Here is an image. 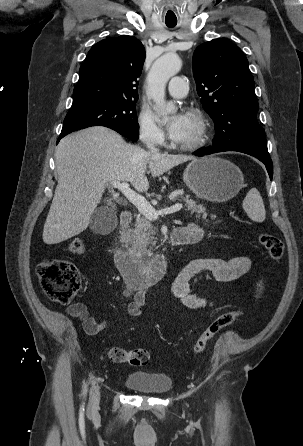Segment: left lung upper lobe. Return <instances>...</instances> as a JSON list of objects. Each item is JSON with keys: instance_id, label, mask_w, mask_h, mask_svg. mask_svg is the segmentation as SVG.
I'll list each match as a JSON object with an SVG mask.
<instances>
[{"instance_id": "obj_1", "label": "left lung upper lobe", "mask_w": 303, "mask_h": 446, "mask_svg": "<svg viewBox=\"0 0 303 446\" xmlns=\"http://www.w3.org/2000/svg\"><path fill=\"white\" fill-rule=\"evenodd\" d=\"M193 75L203 108L215 123L213 148L269 154L256 118L254 79L241 49L227 39L201 44L193 55Z\"/></svg>"}]
</instances>
